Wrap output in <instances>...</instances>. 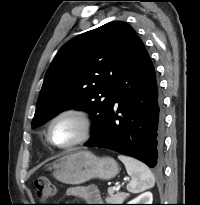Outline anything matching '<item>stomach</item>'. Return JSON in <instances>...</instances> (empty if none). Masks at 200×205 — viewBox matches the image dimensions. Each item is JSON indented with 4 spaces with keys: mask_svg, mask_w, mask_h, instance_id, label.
Masks as SVG:
<instances>
[{
    "mask_svg": "<svg viewBox=\"0 0 200 205\" xmlns=\"http://www.w3.org/2000/svg\"><path fill=\"white\" fill-rule=\"evenodd\" d=\"M48 171L55 179L66 184H82L92 178H114L119 167L111 157H97L89 151L67 154L49 165Z\"/></svg>",
    "mask_w": 200,
    "mask_h": 205,
    "instance_id": "0dacf381",
    "label": "stomach"
}]
</instances>
